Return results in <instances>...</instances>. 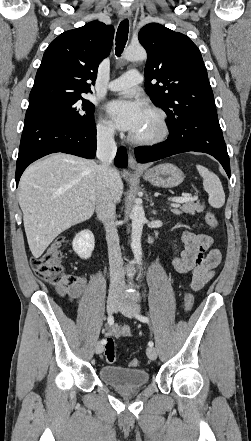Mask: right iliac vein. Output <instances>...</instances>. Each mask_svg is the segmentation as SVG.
I'll return each instance as SVG.
<instances>
[{
    "label": "right iliac vein",
    "mask_w": 251,
    "mask_h": 441,
    "mask_svg": "<svg viewBox=\"0 0 251 441\" xmlns=\"http://www.w3.org/2000/svg\"><path fill=\"white\" fill-rule=\"evenodd\" d=\"M118 301H119V294H117V293H111V294L108 296V300H107V312H108L109 314H112V313L116 310L117 305H118ZM103 350H104V345H103L102 343L98 342V343L96 344V346H95V352H96V354H100V353H102Z\"/></svg>",
    "instance_id": "obj_1"
}]
</instances>
